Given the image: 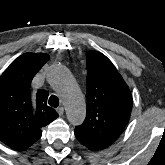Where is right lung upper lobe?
I'll return each instance as SVG.
<instances>
[{"label": "right lung upper lobe", "instance_id": "obj_1", "mask_svg": "<svg viewBox=\"0 0 165 165\" xmlns=\"http://www.w3.org/2000/svg\"><path fill=\"white\" fill-rule=\"evenodd\" d=\"M48 60L44 53H25L0 77V140L16 150L30 147L40 139L41 128L58 117L46 104V90L30 93L33 77Z\"/></svg>", "mask_w": 165, "mask_h": 165}]
</instances>
